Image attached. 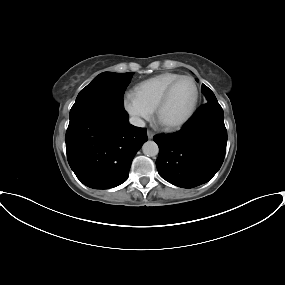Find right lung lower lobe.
I'll return each instance as SVG.
<instances>
[{
  "label": "right lung lower lobe",
  "mask_w": 285,
  "mask_h": 285,
  "mask_svg": "<svg viewBox=\"0 0 285 285\" xmlns=\"http://www.w3.org/2000/svg\"><path fill=\"white\" fill-rule=\"evenodd\" d=\"M147 141L146 129L129 124L125 110L95 105L70 118L65 136L69 165L94 189L122 184L131 162Z\"/></svg>",
  "instance_id": "right-lung-lower-lobe-1"
}]
</instances>
